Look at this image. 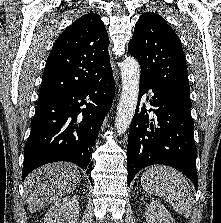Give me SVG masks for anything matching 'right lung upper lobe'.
<instances>
[{"instance_id": "obj_1", "label": "right lung upper lobe", "mask_w": 221, "mask_h": 223, "mask_svg": "<svg viewBox=\"0 0 221 223\" xmlns=\"http://www.w3.org/2000/svg\"><path fill=\"white\" fill-rule=\"evenodd\" d=\"M109 38L99 15L77 19L58 37L47 59L37 104L75 91L111 68Z\"/></svg>"}]
</instances>
